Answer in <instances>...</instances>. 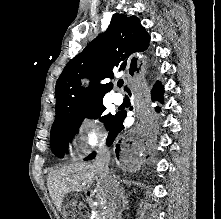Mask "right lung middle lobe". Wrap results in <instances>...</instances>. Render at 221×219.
<instances>
[{"label": "right lung middle lobe", "mask_w": 221, "mask_h": 219, "mask_svg": "<svg viewBox=\"0 0 221 219\" xmlns=\"http://www.w3.org/2000/svg\"><path fill=\"white\" fill-rule=\"evenodd\" d=\"M106 108L102 101L83 105L70 113L55 120L51 128L50 143L52 152L58 157H63L67 150L68 142L78 132V128L85 117L97 119L100 117L107 130L110 129L115 115H103Z\"/></svg>", "instance_id": "obj_1"}]
</instances>
